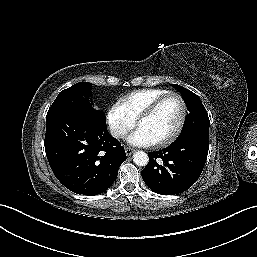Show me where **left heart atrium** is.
Here are the masks:
<instances>
[{"label": "left heart atrium", "instance_id": "left-heart-atrium-1", "mask_svg": "<svg viewBox=\"0 0 257 257\" xmlns=\"http://www.w3.org/2000/svg\"><path fill=\"white\" fill-rule=\"evenodd\" d=\"M127 141L133 146L140 147H148L156 143L142 128H138L131 133L127 138Z\"/></svg>", "mask_w": 257, "mask_h": 257}]
</instances>
